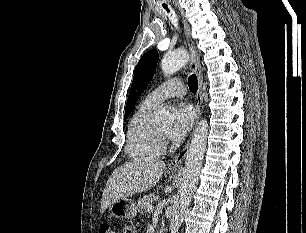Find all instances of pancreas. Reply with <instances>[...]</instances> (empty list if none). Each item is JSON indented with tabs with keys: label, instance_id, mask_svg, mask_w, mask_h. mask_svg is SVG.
Listing matches in <instances>:
<instances>
[{
	"label": "pancreas",
	"instance_id": "cf45deb5",
	"mask_svg": "<svg viewBox=\"0 0 306 233\" xmlns=\"http://www.w3.org/2000/svg\"><path fill=\"white\" fill-rule=\"evenodd\" d=\"M154 200H155V194L154 193H151L149 195H146V196H143L142 198H140L137 202L138 212H140L142 214L144 211H147V207L149 205H152Z\"/></svg>",
	"mask_w": 306,
	"mask_h": 233
}]
</instances>
